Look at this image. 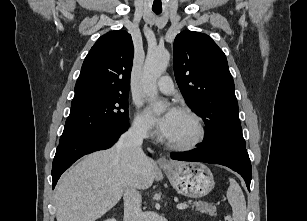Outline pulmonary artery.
<instances>
[{
	"instance_id": "obj_1",
	"label": "pulmonary artery",
	"mask_w": 307,
	"mask_h": 221,
	"mask_svg": "<svg viewBox=\"0 0 307 221\" xmlns=\"http://www.w3.org/2000/svg\"><path fill=\"white\" fill-rule=\"evenodd\" d=\"M158 89L164 94H172L174 92V85L169 76H163L157 83Z\"/></svg>"
}]
</instances>
